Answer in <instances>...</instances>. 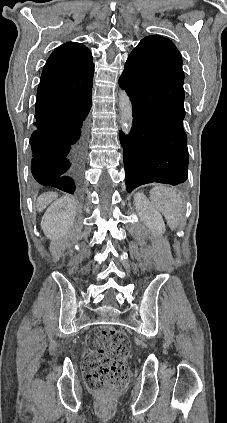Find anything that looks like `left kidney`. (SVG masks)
<instances>
[{
    "instance_id": "left-kidney-1",
    "label": "left kidney",
    "mask_w": 227,
    "mask_h": 423,
    "mask_svg": "<svg viewBox=\"0 0 227 423\" xmlns=\"http://www.w3.org/2000/svg\"><path fill=\"white\" fill-rule=\"evenodd\" d=\"M134 206L141 221H144L146 227H149L152 233H155V235H163L165 233V223L161 213L155 210L142 192L135 194Z\"/></svg>"
}]
</instances>
